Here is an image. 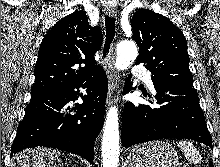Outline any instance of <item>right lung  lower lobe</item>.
Listing matches in <instances>:
<instances>
[{"mask_svg": "<svg viewBox=\"0 0 220 167\" xmlns=\"http://www.w3.org/2000/svg\"><path fill=\"white\" fill-rule=\"evenodd\" d=\"M80 87L87 92L81 94L83 104L70 108L68 102L78 99ZM107 88L106 74L100 68L82 81L32 94L11 156L26 148L46 146L80 155L92 163L94 143L103 126ZM72 111L75 114H70Z\"/></svg>", "mask_w": 220, "mask_h": 167, "instance_id": "right-lung-lower-lobe-1", "label": "right lung lower lobe"}]
</instances>
